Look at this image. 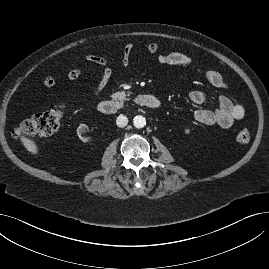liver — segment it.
Returning a JSON list of instances; mask_svg holds the SVG:
<instances>
[{"label": "liver", "mask_w": 269, "mask_h": 269, "mask_svg": "<svg viewBox=\"0 0 269 269\" xmlns=\"http://www.w3.org/2000/svg\"><path fill=\"white\" fill-rule=\"evenodd\" d=\"M20 140L28 152L33 155H37L39 153V148L33 140L25 137L24 135L20 136Z\"/></svg>", "instance_id": "6515ba94"}]
</instances>
